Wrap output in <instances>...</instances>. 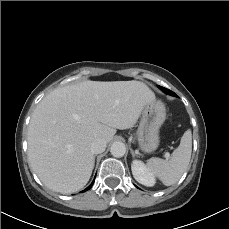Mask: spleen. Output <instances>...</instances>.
Masks as SVG:
<instances>
[{
	"instance_id": "3e777b00",
	"label": "spleen",
	"mask_w": 229,
	"mask_h": 229,
	"mask_svg": "<svg viewBox=\"0 0 229 229\" xmlns=\"http://www.w3.org/2000/svg\"><path fill=\"white\" fill-rule=\"evenodd\" d=\"M191 152L192 134L190 130H187L181 138L180 145L171 154L170 159L150 158L147 167L164 185H173L178 182L186 171Z\"/></svg>"
}]
</instances>
